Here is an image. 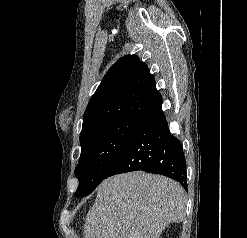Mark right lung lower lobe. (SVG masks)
I'll list each match as a JSON object with an SVG mask.
<instances>
[{
	"label": "right lung lower lobe",
	"mask_w": 247,
	"mask_h": 238,
	"mask_svg": "<svg viewBox=\"0 0 247 238\" xmlns=\"http://www.w3.org/2000/svg\"><path fill=\"white\" fill-rule=\"evenodd\" d=\"M186 162L179 140L169 132L168 122L160 111L146 120L118 158L106 177L145 171L167 176L186 188Z\"/></svg>",
	"instance_id": "98d812e1"
}]
</instances>
